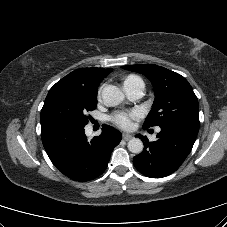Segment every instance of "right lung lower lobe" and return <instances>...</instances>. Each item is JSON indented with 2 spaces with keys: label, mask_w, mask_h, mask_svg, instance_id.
I'll return each mask as SVG.
<instances>
[{
  "label": "right lung lower lobe",
  "mask_w": 227,
  "mask_h": 227,
  "mask_svg": "<svg viewBox=\"0 0 227 227\" xmlns=\"http://www.w3.org/2000/svg\"><path fill=\"white\" fill-rule=\"evenodd\" d=\"M43 146L54 166L75 181H89L106 169L110 155L121 139L115 128L104 125L100 136L88 140L84 127L67 123L45 125Z\"/></svg>",
  "instance_id": "right-lung-lower-lobe-1"
}]
</instances>
